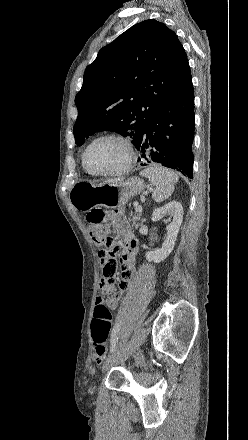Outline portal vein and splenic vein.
<instances>
[{
    "instance_id": "1",
    "label": "portal vein and splenic vein",
    "mask_w": 248,
    "mask_h": 440,
    "mask_svg": "<svg viewBox=\"0 0 248 440\" xmlns=\"http://www.w3.org/2000/svg\"><path fill=\"white\" fill-rule=\"evenodd\" d=\"M135 210H136L137 212H141V211H142V206L139 205V204H137Z\"/></svg>"
}]
</instances>
